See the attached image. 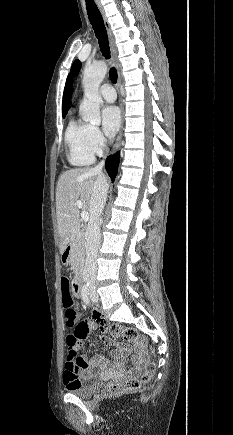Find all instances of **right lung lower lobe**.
<instances>
[{
  "mask_svg": "<svg viewBox=\"0 0 233 435\" xmlns=\"http://www.w3.org/2000/svg\"><path fill=\"white\" fill-rule=\"evenodd\" d=\"M119 160H120V152H117L106 159V163H105L106 171L112 181L115 180L117 170H118Z\"/></svg>",
  "mask_w": 233,
  "mask_h": 435,
  "instance_id": "1",
  "label": "right lung lower lobe"
}]
</instances>
